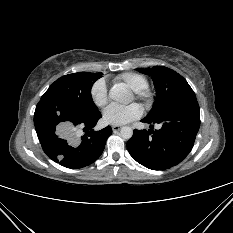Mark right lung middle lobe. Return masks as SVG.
<instances>
[{"instance_id": "dd1d6c3e", "label": "right lung middle lobe", "mask_w": 233, "mask_h": 233, "mask_svg": "<svg viewBox=\"0 0 233 233\" xmlns=\"http://www.w3.org/2000/svg\"><path fill=\"white\" fill-rule=\"evenodd\" d=\"M102 73L78 72L56 80L41 97L76 116H89L98 111L91 98L93 83Z\"/></svg>"}]
</instances>
